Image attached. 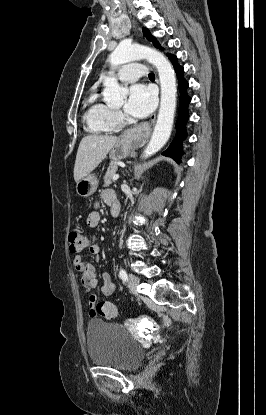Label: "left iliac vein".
<instances>
[{"instance_id":"left-iliac-vein-1","label":"left iliac vein","mask_w":266,"mask_h":415,"mask_svg":"<svg viewBox=\"0 0 266 415\" xmlns=\"http://www.w3.org/2000/svg\"><path fill=\"white\" fill-rule=\"evenodd\" d=\"M140 283V280L137 276L130 274L128 277V287L133 293H137V287Z\"/></svg>"}]
</instances>
